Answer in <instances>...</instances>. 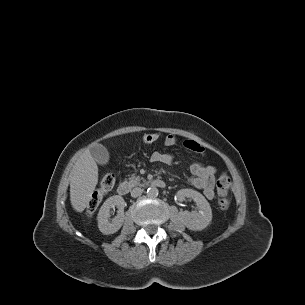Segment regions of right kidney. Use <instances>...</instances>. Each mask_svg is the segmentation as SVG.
I'll list each match as a JSON object with an SVG mask.
<instances>
[{
    "instance_id": "obj_1",
    "label": "right kidney",
    "mask_w": 305,
    "mask_h": 305,
    "mask_svg": "<svg viewBox=\"0 0 305 305\" xmlns=\"http://www.w3.org/2000/svg\"><path fill=\"white\" fill-rule=\"evenodd\" d=\"M117 206L119 209L117 216L112 219V221H109L110 217V209ZM126 206V203L124 199L119 196L115 195L112 197H109L101 206L97 221H98V228L99 230L105 234H113L117 232L123 225L124 222V207Z\"/></svg>"
}]
</instances>
